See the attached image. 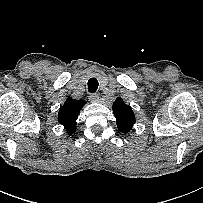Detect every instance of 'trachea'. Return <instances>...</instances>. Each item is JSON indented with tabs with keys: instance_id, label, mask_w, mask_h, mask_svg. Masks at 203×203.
I'll use <instances>...</instances> for the list:
<instances>
[{
	"instance_id": "trachea-1",
	"label": "trachea",
	"mask_w": 203,
	"mask_h": 203,
	"mask_svg": "<svg viewBox=\"0 0 203 203\" xmlns=\"http://www.w3.org/2000/svg\"><path fill=\"white\" fill-rule=\"evenodd\" d=\"M87 85H88V91L91 93H94L96 92L99 84L96 78H91L89 79Z\"/></svg>"
}]
</instances>
